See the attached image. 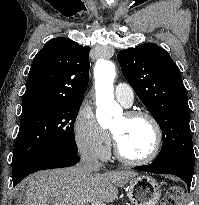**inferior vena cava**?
<instances>
[{"instance_id":"602c4592","label":"inferior vena cava","mask_w":199,"mask_h":205,"mask_svg":"<svg viewBox=\"0 0 199 205\" xmlns=\"http://www.w3.org/2000/svg\"><path fill=\"white\" fill-rule=\"evenodd\" d=\"M80 155L81 161L79 163V169L85 176H89L94 171L99 170L102 166L96 154L91 150H82Z\"/></svg>"}]
</instances>
